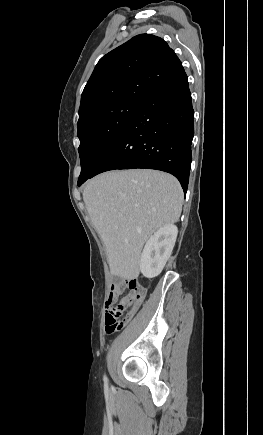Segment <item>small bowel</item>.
<instances>
[{"label": "small bowel", "instance_id": "1", "mask_svg": "<svg viewBox=\"0 0 263 435\" xmlns=\"http://www.w3.org/2000/svg\"><path fill=\"white\" fill-rule=\"evenodd\" d=\"M118 295H119V292H118V291H116V290H112V293H111L110 297H109L108 300L106 301V305H105V307H106V312H107V311H108L112 306H114V304H115V302H116V300H117Z\"/></svg>", "mask_w": 263, "mask_h": 435}]
</instances>
